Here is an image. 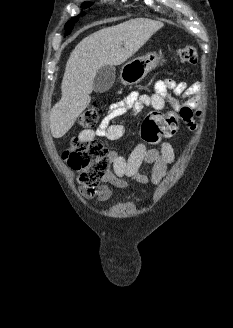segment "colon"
<instances>
[{
	"mask_svg": "<svg viewBox=\"0 0 233 328\" xmlns=\"http://www.w3.org/2000/svg\"><path fill=\"white\" fill-rule=\"evenodd\" d=\"M176 56L183 64H194L198 59L197 50L192 45L179 48ZM100 114L98 105L90 104L79 116L78 123L85 130H91L96 126ZM180 120L177 113L153 111L142 123L141 137L147 144H158L163 138L176 135ZM62 158L70 168L79 172L78 181L87 190L99 188L108 174L109 155L100 141H82L77 138L62 152Z\"/></svg>",
	"mask_w": 233,
	"mask_h": 328,
	"instance_id": "colon-1",
	"label": "colon"
}]
</instances>
